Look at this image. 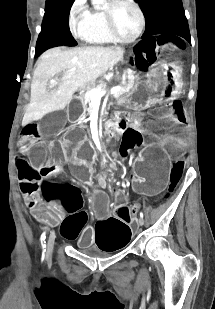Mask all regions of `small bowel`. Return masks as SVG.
I'll use <instances>...</instances> for the list:
<instances>
[{"instance_id":"small-bowel-1","label":"small bowel","mask_w":215,"mask_h":309,"mask_svg":"<svg viewBox=\"0 0 215 309\" xmlns=\"http://www.w3.org/2000/svg\"><path fill=\"white\" fill-rule=\"evenodd\" d=\"M128 127H130V129H131V131L129 132L131 134L128 133L124 136L123 141H122V146L135 145L136 144V141H135V138H134L136 127L134 126V124H131ZM112 193H113L115 199H119L123 195V190H121L119 188H114L112 190ZM58 211L62 214V216H65L64 219H68V216L66 215V213L64 211H61V210H58Z\"/></svg>"}]
</instances>
